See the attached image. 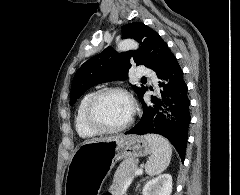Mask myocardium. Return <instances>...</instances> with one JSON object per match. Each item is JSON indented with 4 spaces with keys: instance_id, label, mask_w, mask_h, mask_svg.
<instances>
[{
    "instance_id": "f54148a6",
    "label": "myocardium",
    "mask_w": 240,
    "mask_h": 195,
    "mask_svg": "<svg viewBox=\"0 0 240 195\" xmlns=\"http://www.w3.org/2000/svg\"><path fill=\"white\" fill-rule=\"evenodd\" d=\"M109 94L122 95L126 97L131 104V117L125 124L121 126H117V127L107 126L102 122H100L99 119L97 118L96 107L99 104V102L102 100V98H104L106 95H109ZM135 116H136V109H135L133 99L127 91L121 88H104L96 92L89 100L86 107V114H85V118L88 126L100 134H115V133L126 131L133 125L135 121Z\"/></svg>"
}]
</instances>
